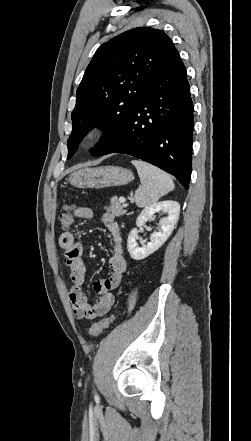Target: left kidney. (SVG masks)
I'll return each instance as SVG.
<instances>
[{
    "label": "left kidney",
    "mask_w": 251,
    "mask_h": 441,
    "mask_svg": "<svg viewBox=\"0 0 251 441\" xmlns=\"http://www.w3.org/2000/svg\"><path fill=\"white\" fill-rule=\"evenodd\" d=\"M156 212L167 213L168 216L159 220L158 231H154L150 236V242L141 247L137 244L138 229L133 228L128 235L127 248L134 260H142L158 250L173 232L180 214V205L176 201H162L146 206L136 219V226L141 227L153 218Z\"/></svg>",
    "instance_id": "5707ae66"
}]
</instances>
